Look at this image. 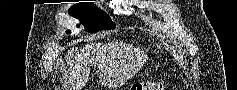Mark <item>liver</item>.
<instances>
[{
	"instance_id": "liver-1",
	"label": "liver",
	"mask_w": 237,
	"mask_h": 90,
	"mask_svg": "<svg viewBox=\"0 0 237 90\" xmlns=\"http://www.w3.org/2000/svg\"><path fill=\"white\" fill-rule=\"evenodd\" d=\"M113 54L110 44H86L85 48L69 50L62 68L67 74L64 78L68 80V90H83L89 80L90 62H111Z\"/></svg>"
}]
</instances>
